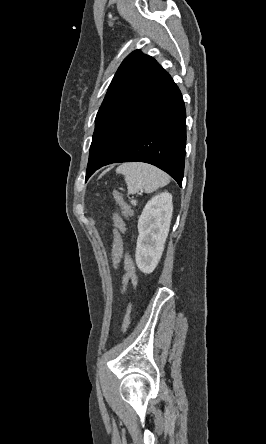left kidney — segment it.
Returning a JSON list of instances; mask_svg holds the SVG:
<instances>
[{
    "mask_svg": "<svg viewBox=\"0 0 266 444\" xmlns=\"http://www.w3.org/2000/svg\"><path fill=\"white\" fill-rule=\"evenodd\" d=\"M172 212V195L162 192L148 201L139 217L135 258L138 268L145 274L152 273L160 261Z\"/></svg>",
    "mask_w": 266,
    "mask_h": 444,
    "instance_id": "5707ae66",
    "label": "left kidney"
}]
</instances>
